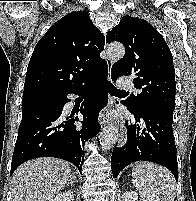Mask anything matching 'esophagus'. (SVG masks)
<instances>
[{"label": "esophagus", "instance_id": "1", "mask_svg": "<svg viewBox=\"0 0 196 201\" xmlns=\"http://www.w3.org/2000/svg\"><path fill=\"white\" fill-rule=\"evenodd\" d=\"M112 60L108 59V80L112 82V76H111V67H112ZM108 105L110 108L114 107V101L113 99L110 97L109 101H108ZM106 126L103 127V130L105 129ZM127 140V133H126V129L123 125L120 126V133H119V139H118V145L119 147H122Z\"/></svg>", "mask_w": 196, "mask_h": 201}]
</instances>
